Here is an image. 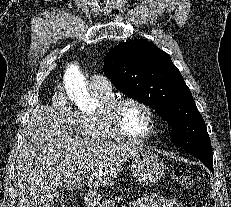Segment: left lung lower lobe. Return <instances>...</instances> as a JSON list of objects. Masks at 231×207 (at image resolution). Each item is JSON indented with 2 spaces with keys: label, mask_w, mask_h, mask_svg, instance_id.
<instances>
[{
  "label": "left lung lower lobe",
  "mask_w": 231,
  "mask_h": 207,
  "mask_svg": "<svg viewBox=\"0 0 231 207\" xmlns=\"http://www.w3.org/2000/svg\"><path fill=\"white\" fill-rule=\"evenodd\" d=\"M206 167L213 172V158L203 157L201 155H195Z\"/></svg>",
  "instance_id": "0a47b994"
}]
</instances>
